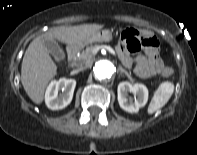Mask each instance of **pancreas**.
<instances>
[{"label": "pancreas", "instance_id": "pancreas-1", "mask_svg": "<svg viewBox=\"0 0 197 155\" xmlns=\"http://www.w3.org/2000/svg\"><path fill=\"white\" fill-rule=\"evenodd\" d=\"M101 48V46L98 45H90L85 50H83L80 54V56L77 58V63L82 65L86 62H89L93 55Z\"/></svg>", "mask_w": 197, "mask_h": 155}]
</instances>
